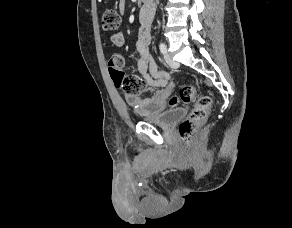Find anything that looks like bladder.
Here are the masks:
<instances>
[{"mask_svg":"<svg viewBox=\"0 0 292 228\" xmlns=\"http://www.w3.org/2000/svg\"><path fill=\"white\" fill-rule=\"evenodd\" d=\"M186 113L184 108H173L163 111L154 116H145L143 120L147 123L160 126L162 128H169L175 122L180 120Z\"/></svg>","mask_w":292,"mask_h":228,"instance_id":"31cf9c89","label":"bladder"}]
</instances>
